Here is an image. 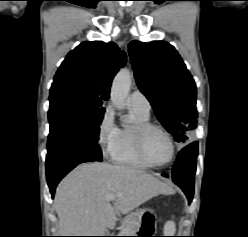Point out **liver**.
<instances>
[{
	"instance_id": "obj_1",
	"label": "liver",
	"mask_w": 248,
	"mask_h": 237,
	"mask_svg": "<svg viewBox=\"0 0 248 237\" xmlns=\"http://www.w3.org/2000/svg\"><path fill=\"white\" fill-rule=\"evenodd\" d=\"M167 184L143 170L108 163H84L58 185L55 211L60 236H103L114 229L117 213L128 214L159 194H172ZM116 195L115 205L106 197Z\"/></svg>"
}]
</instances>
